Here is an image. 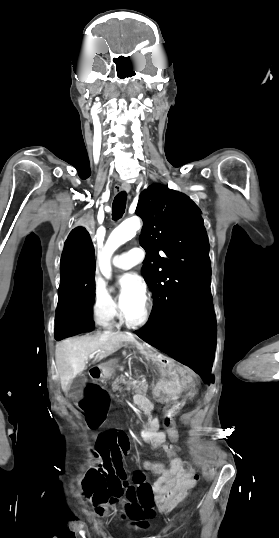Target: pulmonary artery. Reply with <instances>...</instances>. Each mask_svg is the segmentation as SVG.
Returning a JSON list of instances; mask_svg holds the SVG:
<instances>
[{"mask_svg": "<svg viewBox=\"0 0 279 538\" xmlns=\"http://www.w3.org/2000/svg\"><path fill=\"white\" fill-rule=\"evenodd\" d=\"M129 255V252L116 254L113 258L114 267L121 270H128L133 267L139 260H132Z\"/></svg>", "mask_w": 279, "mask_h": 538, "instance_id": "pulmonary-artery-1", "label": "pulmonary artery"}]
</instances>
